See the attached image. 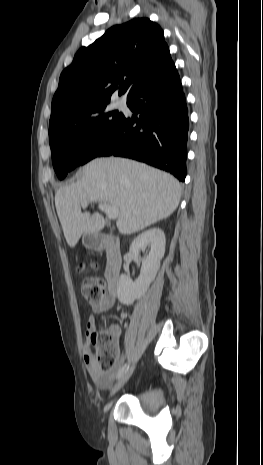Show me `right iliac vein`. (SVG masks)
<instances>
[{"mask_svg": "<svg viewBox=\"0 0 263 465\" xmlns=\"http://www.w3.org/2000/svg\"><path fill=\"white\" fill-rule=\"evenodd\" d=\"M135 369V365L131 366L117 381L115 386L112 388L109 397H112L116 392H118L124 385L125 383L129 380L131 375L133 374Z\"/></svg>", "mask_w": 263, "mask_h": 465, "instance_id": "obj_1", "label": "right iliac vein"}]
</instances>
